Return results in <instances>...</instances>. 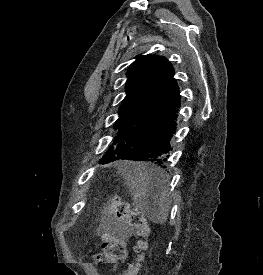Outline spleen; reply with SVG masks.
I'll list each match as a JSON object with an SVG mask.
<instances>
[{
  "instance_id": "obj_1",
  "label": "spleen",
  "mask_w": 263,
  "mask_h": 275,
  "mask_svg": "<svg viewBox=\"0 0 263 275\" xmlns=\"http://www.w3.org/2000/svg\"><path fill=\"white\" fill-rule=\"evenodd\" d=\"M118 167L140 210L154 223L166 222L169 210L167 174L140 162H120Z\"/></svg>"
}]
</instances>
